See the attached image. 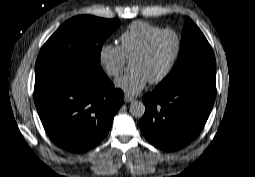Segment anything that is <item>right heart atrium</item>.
Returning a JSON list of instances; mask_svg holds the SVG:
<instances>
[{"instance_id":"right-heart-atrium-1","label":"right heart atrium","mask_w":255,"mask_h":177,"mask_svg":"<svg viewBox=\"0 0 255 177\" xmlns=\"http://www.w3.org/2000/svg\"><path fill=\"white\" fill-rule=\"evenodd\" d=\"M99 60L110 77H118L126 63L121 47L112 43L100 47Z\"/></svg>"}]
</instances>
